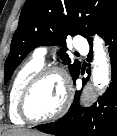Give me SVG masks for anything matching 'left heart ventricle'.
<instances>
[{
  "mask_svg": "<svg viewBox=\"0 0 117 136\" xmlns=\"http://www.w3.org/2000/svg\"><path fill=\"white\" fill-rule=\"evenodd\" d=\"M64 89L61 77L51 74L43 78L28 97L26 110L33 118L54 114L63 102Z\"/></svg>",
  "mask_w": 117,
  "mask_h": 136,
  "instance_id": "obj_1",
  "label": "left heart ventricle"
}]
</instances>
